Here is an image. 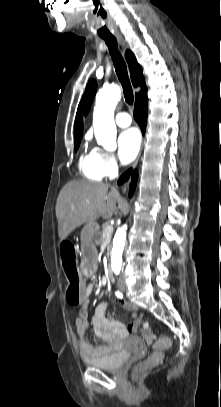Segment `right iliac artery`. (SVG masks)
<instances>
[{
    "label": "right iliac artery",
    "instance_id": "right-iliac-artery-1",
    "mask_svg": "<svg viewBox=\"0 0 221 407\" xmlns=\"http://www.w3.org/2000/svg\"><path fill=\"white\" fill-rule=\"evenodd\" d=\"M116 296H117V297H122V294H121L119 291H117V292H116Z\"/></svg>",
    "mask_w": 221,
    "mask_h": 407
}]
</instances>
